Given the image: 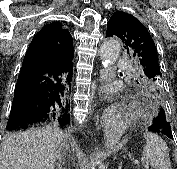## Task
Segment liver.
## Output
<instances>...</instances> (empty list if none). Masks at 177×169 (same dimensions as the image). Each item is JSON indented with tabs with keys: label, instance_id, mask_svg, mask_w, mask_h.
<instances>
[{
	"label": "liver",
	"instance_id": "1",
	"mask_svg": "<svg viewBox=\"0 0 177 169\" xmlns=\"http://www.w3.org/2000/svg\"><path fill=\"white\" fill-rule=\"evenodd\" d=\"M62 131L45 127L9 135L0 151V169H54Z\"/></svg>",
	"mask_w": 177,
	"mask_h": 169
}]
</instances>
